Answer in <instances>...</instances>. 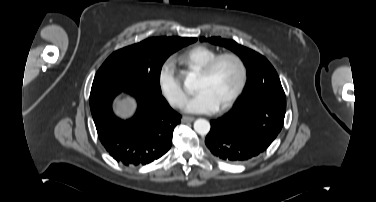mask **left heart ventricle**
<instances>
[{"instance_id": "left-heart-ventricle-1", "label": "left heart ventricle", "mask_w": 376, "mask_h": 202, "mask_svg": "<svg viewBox=\"0 0 376 202\" xmlns=\"http://www.w3.org/2000/svg\"><path fill=\"white\" fill-rule=\"evenodd\" d=\"M239 82V69L231 59L218 63L209 77L198 75L195 89H205L211 95L218 107L223 105L236 89Z\"/></svg>"}]
</instances>
